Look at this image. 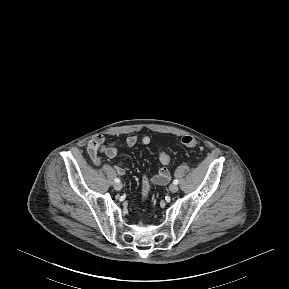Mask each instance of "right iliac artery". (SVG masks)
<instances>
[{
    "label": "right iliac artery",
    "mask_w": 289,
    "mask_h": 289,
    "mask_svg": "<svg viewBox=\"0 0 289 289\" xmlns=\"http://www.w3.org/2000/svg\"><path fill=\"white\" fill-rule=\"evenodd\" d=\"M114 181H115L116 183H120V179H119V178H115Z\"/></svg>",
    "instance_id": "1"
}]
</instances>
